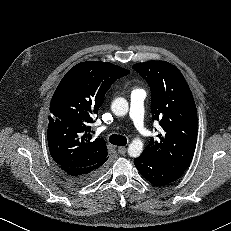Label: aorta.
<instances>
[{"label": "aorta", "instance_id": "obj_1", "mask_svg": "<svg viewBox=\"0 0 231 231\" xmlns=\"http://www.w3.org/2000/svg\"><path fill=\"white\" fill-rule=\"evenodd\" d=\"M112 112L116 116H124L128 113L129 105L125 98H116L111 105ZM143 151V142L135 138L128 146V154L131 157H138Z\"/></svg>", "mask_w": 231, "mask_h": 231}]
</instances>
